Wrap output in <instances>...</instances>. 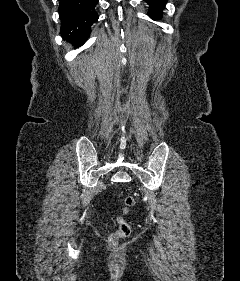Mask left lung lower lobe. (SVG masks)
<instances>
[{
  "label": "left lung lower lobe",
  "mask_w": 240,
  "mask_h": 281,
  "mask_svg": "<svg viewBox=\"0 0 240 281\" xmlns=\"http://www.w3.org/2000/svg\"><path fill=\"white\" fill-rule=\"evenodd\" d=\"M149 7V16L151 18L155 19H160L162 17V9L165 7V3L167 0H145Z\"/></svg>",
  "instance_id": "1"
}]
</instances>
